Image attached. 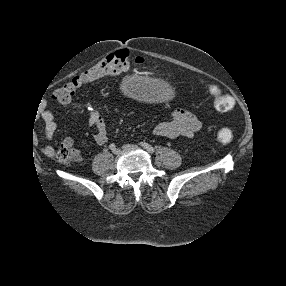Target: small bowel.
Instances as JSON below:
<instances>
[{"mask_svg": "<svg viewBox=\"0 0 286 286\" xmlns=\"http://www.w3.org/2000/svg\"><path fill=\"white\" fill-rule=\"evenodd\" d=\"M42 119L45 123V137L50 139L57 129L56 118L50 110H44ZM88 123L95 129V143L97 145H104L108 140L107 124L104 117L98 110H91L88 116ZM201 129L202 122L197 113L178 107L171 112L169 120L159 123L154 128V134L164 138H192L197 135ZM63 144L70 150L71 160L73 162H79L81 155L79 149L74 145V140L71 137H66L63 140ZM43 152L46 155H51L52 148L45 147Z\"/></svg>", "mask_w": 286, "mask_h": 286, "instance_id": "1", "label": "small bowel"}]
</instances>
